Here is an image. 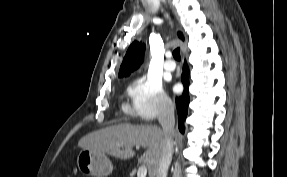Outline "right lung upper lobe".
<instances>
[{"label": "right lung upper lobe", "instance_id": "cb5924a9", "mask_svg": "<svg viewBox=\"0 0 287 177\" xmlns=\"http://www.w3.org/2000/svg\"><path fill=\"white\" fill-rule=\"evenodd\" d=\"M179 37L184 40L182 33H178ZM145 45L142 42L134 41L127 50L119 70V77L127 76L137 69L143 61V53Z\"/></svg>", "mask_w": 287, "mask_h": 177}]
</instances>
